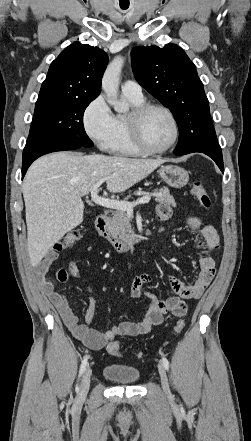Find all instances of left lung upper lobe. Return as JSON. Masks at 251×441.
<instances>
[{
    "label": "left lung upper lobe",
    "instance_id": "5c2ea615",
    "mask_svg": "<svg viewBox=\"0 0 251 441\" xmlns=\"http://www.w3.org/2000/svg\"><path fill=\"white\" fill-rule=\"evenodd\" d=\"M131 57L136 80L170 109L179 130L201 118H211L196 67L178 45L134 47Z\"/></svg>",
    "mask_w": 251,
    "mask_h": 441
}]
</instances>
